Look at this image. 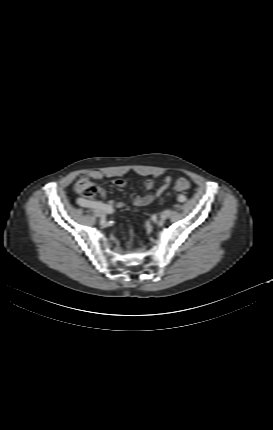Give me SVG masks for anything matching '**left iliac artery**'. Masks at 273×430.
<instances>
[{
    "mask_svg": "<svg viewBox=\"0 0 273 430\" xmlns=\"http://www.w3.org/2000/svg\"><path fill=\"white\" fill-rule=\"evenodd\" d=\"M186 201H187V197H186L184 194H181V195L179 196V202H180L181 204H184Z\"/></svg>",
    "mask_w": 273,
    "mask_h": 430,
    "instance_id": "1",
    "label": "left iliac artery"
}]
</instances>
